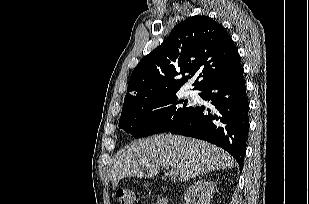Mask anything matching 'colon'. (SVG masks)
<instances>
[{"instance_id": "1", "label": "colon", "mask_w": 309, "mask_h": 204, "mask_svg": "<svg viewBox=\"0 0 309 204\" xmlns=\"http://www.w3.org/2000/svg\"><path fill=\"white\" fill-rule=\"evenodd\" d=\"M116 194L120 204H134L139 199L137 192L131 188H121Z\"/></svg>"}]
</instances>
